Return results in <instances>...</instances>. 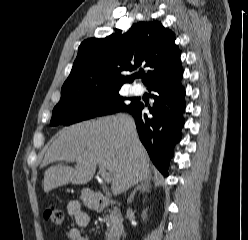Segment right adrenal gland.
I'll return each mask as SVG.
<instances>
[{
	"instance_id": "obj_1",
	"label": "right adrenal gland",
	"mask_w": 248,
	"mask_h": 240,
	"mask_svg": "<svg viewBox=\"0 0 248 240\" xmlns=\"http://www.w3.org/2000/svg\"><path fill=\"white\" fill-rule=\"evenodd\" d=\"M137 191H140L142 193L144 192H151V183H150V180H143L141 181L137 186L136 188L133 190V192L130 194V196L128 197V200H127V203L128 204H131L133 199H134V196H135V193Z\"/></svg>"
}]
</instances>
